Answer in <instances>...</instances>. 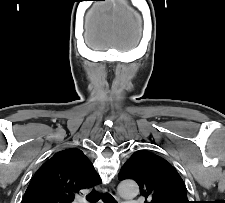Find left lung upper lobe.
Segmentation results:
<instances>
[{"instance_id": "1", "label": "left lung upper lobe", "mask_w": 225, "mask_h": 203, "mask_svg": "<svg viewBox=\"0 0 225 203\" xmlns=\"http://www.w3.org/2000/svg\"><path fill=\"white\" fill-rule=\"evenodd\" d=\"M119 178L137 182L145 203H190L175 168L162 157L139 150L124 163Z\"/></svg>"}]
</instances>
